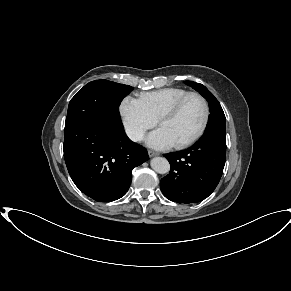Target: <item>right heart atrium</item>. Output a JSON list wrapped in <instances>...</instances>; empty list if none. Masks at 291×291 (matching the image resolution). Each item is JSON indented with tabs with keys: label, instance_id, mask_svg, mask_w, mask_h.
<instances>
[{
	"label": "right heart atrium",
	"instance_id": "d8ad5b80",
	"mask_svg": "<svg viewBox=\"0 0 291 291\" xmlns=\"http://www.w3.org/2000/svg\"><path fill=\"white\" fill-rule=\"evenodd\" d=\"M119 112L126 134L136 142L140 141L145 132L156 124L142 102L132 96H126L122 100Z\"/></svg>",
	"mask_w": 291,
	"mask_h": 291
}]
</instances>
